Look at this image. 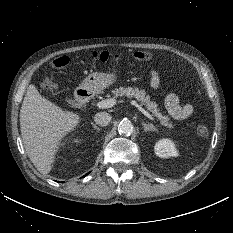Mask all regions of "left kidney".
Returning <instances> with one entry per match:
<instances>
[{
    "mask_svg": "<svg viewBox=\"0 0 233 233\" xmlns=\"http://www.w3.org/2000/svg\"><path fill=\"white\" fill-rule=\"evenodd\" d=\"M155 154L161 158L178 156V151L172 140L164 138L159 140L154 146Z\"/></svg>",
    "mask_w": 233,
    "mask_h": 233,
    "instance_id": "obj_1",
    "label": "left kidney"
}]
</instances>
